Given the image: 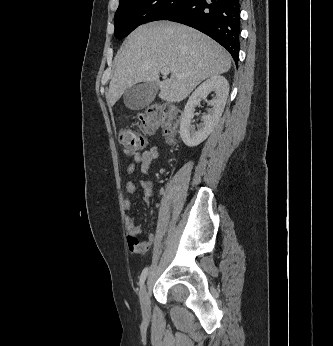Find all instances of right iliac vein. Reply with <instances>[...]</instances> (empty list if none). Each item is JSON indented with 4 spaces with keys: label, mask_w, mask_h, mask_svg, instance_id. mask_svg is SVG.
<instances>
[{
    "label": "right iliac vein",
    "mask_w": 333,
    "mask_h": 346,
    "mask_svg": "<svg viewBox=\"0 0 333 346\" xmlns=\"http://www.w3.org/2000/svg\"><path fill=\"white\" fill-rule=\"evenodd\" d=\"M140 306L142 311V316L145 321H149L150 315H151V308H150V296L146 285H143L140 294Z\"/></svg>",
    "instance_id": "63e3f726"
}]
</instances>
